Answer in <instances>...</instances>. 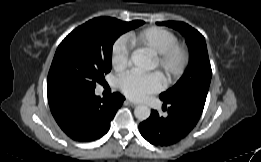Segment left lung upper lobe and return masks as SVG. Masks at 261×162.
I'll list each match as a JSON object with an SVG mask.
<instances>
[{"mask_svg": "<svg viewBox=\"0 0 261 162\" xmlns=\"http://www.w3.org/2000/svg\"><path fill=\"white\" fill-rule=\"evenodd\" d=\"M158 24L172 27L184 35L190 51L187 70L172 88L160 94V99L169 102L179 96L188 95L205 103L212 76L205 38L183 22L166 21Z\"/></svg>", "mask_w": 261, "mask_h": 162, "instance_id": "5c2ea615", "label": "left lung upper lobe"}]
</instances>
